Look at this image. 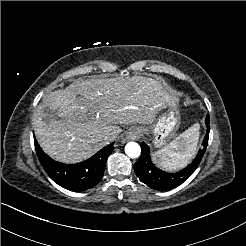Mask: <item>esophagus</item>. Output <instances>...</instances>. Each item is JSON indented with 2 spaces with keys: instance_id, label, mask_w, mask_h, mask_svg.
Listing matches in <instances>:
<instances>
[{
  "instance_id": "34e87169",
  "label": "esophagus",
  "mask_w": 246,
  "mask_h": 246,
  "mask_svg": "<svg viewBox=\"0 0 246 246\" xmlns=\"http://www.w3.org/2000/svg\"><path fill=\"white\" fill-rule=\"evenodd\" d=\"M139 136H138V132L135 131L134 129L130 130L128 132V139L130 140H138Z\"/></svg>"
}]
</instances>
